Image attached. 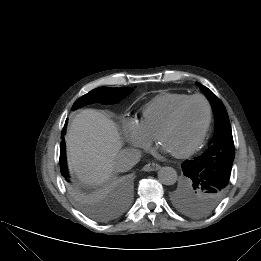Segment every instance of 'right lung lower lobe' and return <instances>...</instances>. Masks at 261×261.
<instances>
[{"mask_svg": "<svg viewBox=\"0 0 261 261\" xmlns=\"http://www.w3.org/2000/svg\"><path fill=\"white\" fill-rule=\"evenodd\" d=\"M64 133H65V127L62 130L61 138H63ZM60 167L67 168V166H66V154H65V142L64 141H61V147H60Z\"/></svg>", "mask_w": 261, "mask_h": 261, "instance_id": "1", "label": "right lung lower lobe"}]
</instances>
